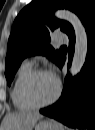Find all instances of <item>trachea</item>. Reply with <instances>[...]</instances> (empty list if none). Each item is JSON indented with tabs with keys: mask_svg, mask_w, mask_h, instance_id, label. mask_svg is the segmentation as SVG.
Listing matches in <instances>:
<instances>
[{
	"mask_svg": "<svg viewBox=\"0 0 95 130\" xmlns=\"http://www.w3.org/2000/svg\"><path fill=\"white\" fill-rule=\"evenodd\" d=\"M61 48H66V46H62Z\"/></svg>",
	"mask_w": 95,
	"mask_h": 130,
	"instance_id": "3493384b",
	"label": "trachea"
}]
</instances>
